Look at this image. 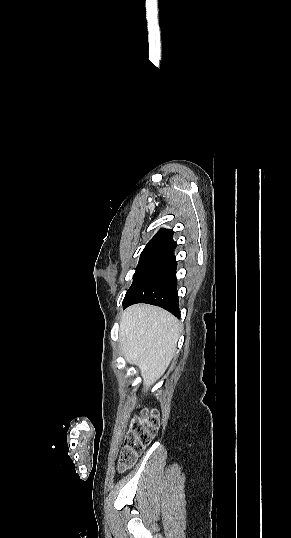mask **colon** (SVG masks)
I'll return each mask as SVG.
<instances>
[{
	"label": "colon",
	"instance_id": "1",
	"mask_svg": "<svg viewBox=\"0 0 291 538\" xmlns=\"http://www.w3.org/2000/svg\"><path fill=\"white\" fill-rule=\"evenodd\" d=\"M159 425V414L154 409L145 410L141 416L134 419L120 453L119 470H124L135 462L157 433Z\"/></svg>",
	"mask_w": 291,
	"mask_h": 538
}]
</instances>
